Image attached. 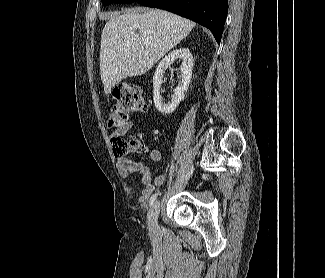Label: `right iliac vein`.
I'll use <instances>...</instances> for the list:
<instances>
[{"label": "right iliac vein", "instance_id": "63e3f726", "mask_svg": "<svg viewBox=\"0 0 325 278\" xmlns=\"http://www.w3.org/2000/svg\"><path fill=\"white\" fill-rule=\"evenodd\" d=\"M160 209V203L159 201H156L152 207L150 208L147 218L149 223V229L151 233L155 234L158 230V214Z\"/></svg>", "mask_w": 325, "mask_h": 278}]
</instances>
